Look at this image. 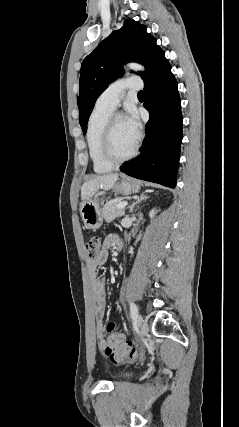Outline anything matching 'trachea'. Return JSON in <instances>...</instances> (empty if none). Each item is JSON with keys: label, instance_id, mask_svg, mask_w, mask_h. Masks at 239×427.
Listing matches in <instances>:
<instances>
[{"label": "trachea", "instance_id": "obj_1", "mask_svg": "<svg viewBox=\"0 0 239 427\" xmlns=\"http://www.w3.org/2000/svg\"><path fill=\"white\" fill-rule=\"evenodd\" d=\"M138 96H144V92L143 91H139L138 92Z\"/></svg>", "mask_w": 239, "mask_h": 427}]
</instances>
